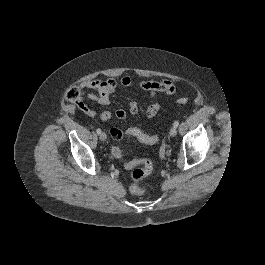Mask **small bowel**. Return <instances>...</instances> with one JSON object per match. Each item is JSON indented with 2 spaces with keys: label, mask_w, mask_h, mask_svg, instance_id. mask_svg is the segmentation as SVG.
Here are the masks:
<instances>
[{
  "label": "small bowel",
  "mask_w": 265,
  "mask_h": 265,
  "mask_svg": "<svg viewBox=\"0 0 265 265\" xmlns=\"http://www.w3.org/2000/svg\"><path fill=\"white\" fill-rule=\"evenodd\" d=\"M119 85L122 87H130L133 85V80L127 75H123L118 81L114 78L92 79L83 82L81 84V89L89 90L87 96L92 101H95L100 105H108L110 103V96L117 91ZM138 86L141 89L148 91L151 95H155L158 92L173 94L175 91L174 83L168 80L140 81ZM166 88H168L169 91H166ZM80 107L87 114L92 116L96 115L95 112L87 109L83 104H81ZM159 109L160 105L158 103H153L148 107L146 114L149 118H153L158 113ZM129 111L132 115L138 113V105L136 102H131L129 104ZM115 114L119 119H124L126 117V111L123 108L117 109ZM99 117L103 122H107L112 118V113L110 111H103L99 114ZM111 130L119 129L112 128Z\"/></svg>",
  "instance_id": "1"
}]
</instances>
